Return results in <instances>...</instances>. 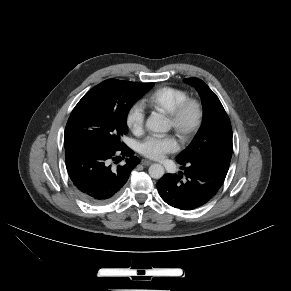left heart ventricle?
<instances>
[{
  "label": "left heart ventricle",
  "instance_id": "left-heart-ventricle-1",
  "mask_svg": "<svg viewBox=\"0 0 291 291\" xmlns=\"http://www.w3.org/2000/svg\"><path fill=\"white\" fill-rule=\"evenodd\" d=\"M193 119H194L193 110L187 111V113L185 114V116L183 118V121H182L183 126L184 127H189L192 124ZM169 126L172 127V123H171L170 120H169Z\"/></svg>",
  "mask_w": 291,
  "mask_h": 291
}]
</instances>
